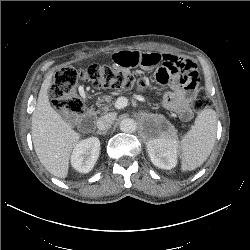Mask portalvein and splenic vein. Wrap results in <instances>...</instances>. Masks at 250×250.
Instances as JSON below:
<instances>
[{
    "label": "portal vein and splenic vein",
    "instance_id": "obj_1",
    "mask_svg": "<svg viewBox=\"0 0 250 250\" xmlns=\"http://www.w3.org/2000/svg\"><path fill=\"white\" fill-rule=\"evenodd\" d=\"M115 108L116 109H122L128 105V99L126 97H118L115 101Z\"/></svg>",
    "mask_w": 250,
    "mask_h": 250
}]
</instances>
